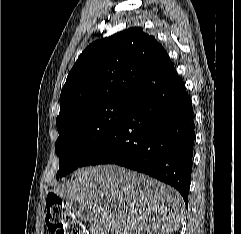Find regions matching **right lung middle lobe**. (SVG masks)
I'll return each instance as SVG.
<instances>
[{
	"label": "right lung middle lobe",
	"instance_id": "obj_1",
	"mask_svg": "<svg viewBox=\"0 0 241 234\" xmlns=\"http://www.w3.org/2000/svg\"><path fill=\"white\" fill-rule=\"evenodd\" d=\"M131 104L106 103L82 109L58 127L55 150L59 157L56 178H62L82 162L115 130Z\"/></svg>",
	"mask_w": 241,
	"mask_h": 234
}]
</instances>
